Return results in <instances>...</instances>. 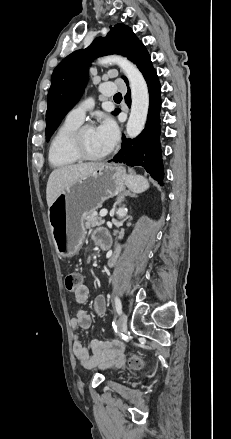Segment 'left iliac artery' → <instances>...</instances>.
<instances>
[{"mask_svg": "<svg viewBox=\"0 0 231 439\" xmlns=\"http://www.w3.org/2000/svg\"><path fill=\"white\" fill-rule=\"evenodd\" d=\"M115 307H116L117 313L120 315L122 313V305H121V301L118 297H115Z\"/></svg>", "mask_w": 231, "mask_h": 439, "instance_id": "44dca946", "label": "left iliac artery"}]
</instances>
